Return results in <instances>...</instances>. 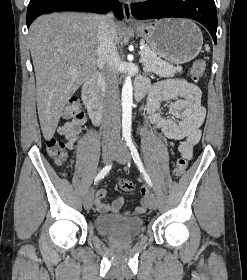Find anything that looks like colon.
Instances as JSON below:
<instances>
[{
	"mask_svg": "<svg viewBox=\"0 0 247 280\" xmlns=\"http://www.w3.org/2000/svg\"><path fill=\"white\" fill-rule=\"evenodd\" d=\"M206 70V63L204 60H196L190 70L191 78L198 81L203 78ZM65 115L72 118H82L84 113L78 99L73 98L70 100L66 107ZM46 147L49 155L55 160L56 163L62 164L67 157L66 145L63 141L51 138L47 140ZM187 168V161L184 158H179L174 166V174L177 177L182 176ZM121 188L124 191H132L133 184L128 180L121 182Z\"/></svg>",
	"mask_w": 247,
	"mask_h": 280,
	"instance_id": "5ec220e1",
	"label": "colon"
}]
</instances>
